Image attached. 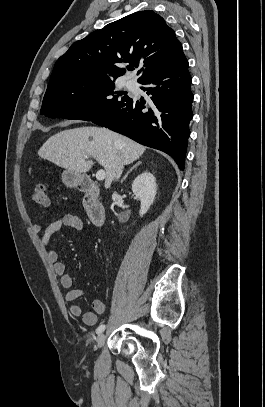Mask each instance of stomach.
Returning a JSON list of instances; mask_svg holds the SVG:
<instances>
[{
  "label": "stomach",
  "instance_id": "obj_1",
  "mask_svg": "<svg viewBox=\"0 0 265 407\" xmlns=\"http://www.w3.org/2000/svg\"><path fill=\"white\" fill-rule=\"evenodd\" d=\"M85 176L83 174L66 169L62 173V182L69 188H75L82 184Z\"/></svg>",
  "mask_w": 265,
  "mask_h": 407
}]
</instances>
